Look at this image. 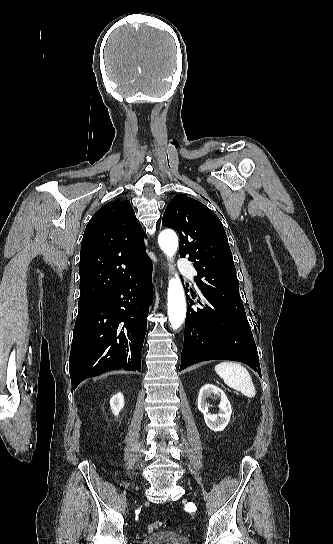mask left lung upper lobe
I'll return each mask as SVG.
<instances>
[{
    "instance_id": "1",
    "label": "left lung upper lobe",
    "mask_w": 333,
    "mask_h": 544,
    "mask_svg": "<svg viewBox=\"0 0 333 544\" xmlns=\"http://www.w3.org/2000/svg\"><path fill=\"white\" fill-rule=\"evenodd\" d=\"M162 224L179 233L180 257L194 262L201 293L246 317L227 236L216 214L199 201L178 194L167 205Z\"/></svg>"
}]
</instances>
